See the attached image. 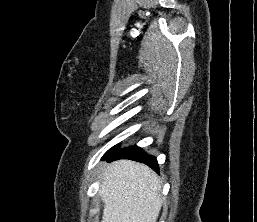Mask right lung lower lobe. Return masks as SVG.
I'll use <instances>...</instances> for the list:
<instances>
[{
	"instance_id": "obj_1",
	"label": "right lung lower lobe",
	"mask_w": 257,
	"mask_h": 222,
	"mask_svg": "<svg viewBox=\"0 0 257 222\" xmlns=\"http://www.w3.org/2000/svg\"><path fill=\"white\" fill-rule=\"evenodd\" d=\"M117 146H114L103 156V159H108V161L118 160V159H131L136 160L146 165L150 166L153 170L159 171L157 160L154 156L148 155L140 147L131 146L124 149L117 150Z\"/></svg>"
}]
</instances>
